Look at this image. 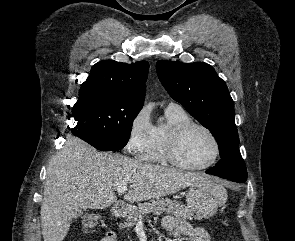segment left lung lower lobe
I'll return each mask as SVG.
<instances>
[{
    "mask_svg": "<svg viewBox=\"0 0 295 241\" xmlns=\"http://www.w3.org/2000/svg\"><path fill=\"white\" fill-rule=\"evenodd\" d=\"M205 173H207V174H212V175H216V174H214L213 172H211V171H209V170L205 171ZM216 176H218V175H216ZM219 177H220V176H219ZM231 181L239 182V180H231Z\"/></svg>",
    "mask_w": 295,
    "mask_h": 241,
    "instance_id": "obj_1",
    "label": "left lung lower lobe"
}]
</instances>
